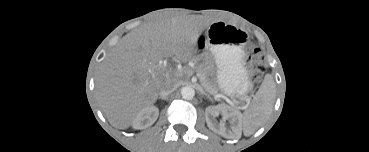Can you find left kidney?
<instances>
[{
    "instance_id": "1",
    "label": "left kidney",
    "mask_w": 369,
    "mask_h": 152,
    "mask_svg": "<svg viewBox=\"0 0 369 152\" xmlns=\"http://www.w3.org/2000/svg\"><path fill=\"white\" fill-rule=\"evenodd\" d=\"M221 114L224 119L229 120L232 125V131H228L224 125L216 124L212 121V118ZM206 123L209 129L220 134L226 138H237L238 136V122L240 120V114L238 111L231 110L229 107L223 105L208 106L205 110Z\"/></svg>"
}]
</instances>
